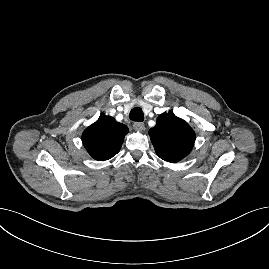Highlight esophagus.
<instances>
[{
	"label": "esophagus",
	"instance_id": "obj_1",
	"mask_svg": "<svg viewBox=\"0 0 269 269\" xmlns=\"http://www.w3.org/2000/svg\"><path fill=\"white\" fill-rule=\"evenodd\" d=\"M133 128L135 131H143L145 129V125L142 122H135L133 124Z\"/></svg>",
	"mask_w": 269,
	"mask_h": 269
}]
</instances>
